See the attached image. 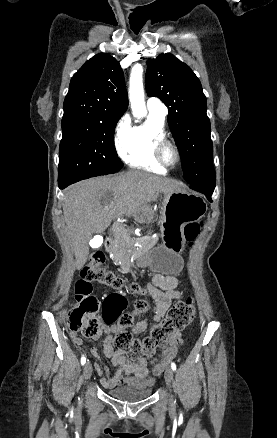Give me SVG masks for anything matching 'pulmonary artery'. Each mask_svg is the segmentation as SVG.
<instances>
[{
    "mask_svg": "<svg viewBox=\"0 0 277 438\" xmlns=\"http://www.w3.org/2000/svg\"><path fill=\"white\" fill-rule=\"evenodd\" d=\"M160 98L158 95H151L149 101L143 106V110H146L150 115L165 120L168 115L167 107L159 103Z\"/></svg>",
    "mask_w": 277,
    "mask_h": 438,
    "instance_id": "obj_1",
    "label": "pulmonary artery"
}]
</instances>
